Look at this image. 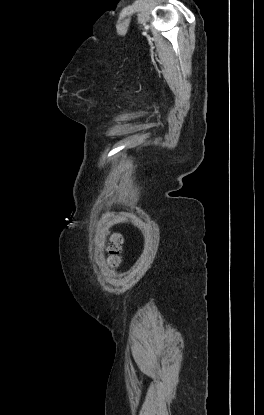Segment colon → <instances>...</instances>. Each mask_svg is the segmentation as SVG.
<instances>
[{
	"mask_svg": "<svg viewBox=\"0 0 264 415\" xmlns=\"http://www.w3.org/2000/svg\"><path fill=\"white\" fill-rule=\"evenodd\" d=\"M122 242L121 236L118 234H114L109 242V245L106 248L108 253V261L109 264L115 266L120 261V244Z\"/></svg>",
	"mask_w": 264,
	"mask_h": 415,
	"instance_id": "obj_1",
	"label": "colon"
}]
</instances>
